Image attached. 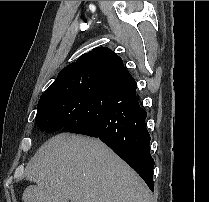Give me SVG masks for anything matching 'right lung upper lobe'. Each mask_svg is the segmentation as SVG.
I'll use <instances>...</instances> for the list:
<instances>
[{
    "instance_id": "cb5924a9",
    "label": "right lung upper lobe",
    "mask_w": 209,
    "mask_h": 202,
    "mask_svg": "<svg viewBox=\"0 0 209 202\" xmlns=\"http://www.w3.org/2000/svg\"><path fill=\"white\" fill-rule=\"evenodd\" d=\"M123 67L122 59L111 49L98 47L81 55L75 63L66 66L58 74L57 78L69 77L76 74H88L91 78L98 77Z\"/></svg>"
}]
</instances>
